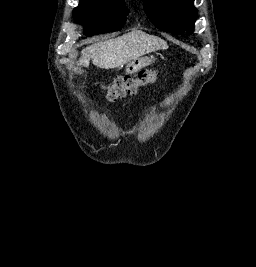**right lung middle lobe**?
<instances>
[{
  "label": "right lung middle lobe",
  "instance_id": "right-lung-middle-lobe-1",
  "mask_svg": "<svg viewBox=\"0 0 256 267\" xmlns=\"http://www.w3.org/2000/svg\"><path fill=\"white\" fill-rule=\"evenodd\" d=\"M129 11L121 1L90 0L81 2L73 11V17L84 25L86 36L120 30Z\"/></svg>",
  "mask_w": 256,
  "mask_h": 267
}]
</instances>
